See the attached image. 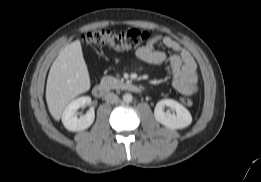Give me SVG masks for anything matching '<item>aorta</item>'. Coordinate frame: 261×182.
<instances>
[{
    "instance_id": "762f6f07",
    "label": "aorta",
    "mask_w": 261,
    "mask_h": 182,
    "mask_svg": "<svg viewBox=\"0 0 261 182\" xmlns=\"http://www.w3.org/2000/svg\"><path fill=\"white\" fill-rule=\"evenodd\" d=\"M133 100V96L130 93H126L123 95V101L125 103H130Z\"/></svg>"
}]
</instances>
